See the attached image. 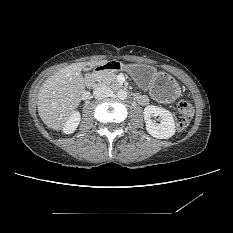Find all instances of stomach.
I'll return each mask as SVG.
<instances>
[{
  "label": "stomach",
  "mask_w": 233,
  "mask_h": 233,
  "mask_svg": "<svg viewBox=\"0 0 233 233\" xmlns=\"http://www.w3.org/2000/svg\"><path fill=\"white\" fill-rule=\"evenodd\" d=\"M125 69L140 87L149 90L151 96L160 102H172L180 94L177 81L153 66L135 63L127 65Z\"/></svg>",
  "instance_id": "0dacf381"
}]
</instances>
